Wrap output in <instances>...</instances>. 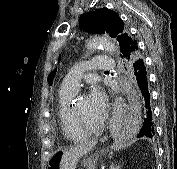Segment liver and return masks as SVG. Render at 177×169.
<instances>
[{
  "mask_svg": "<svg viewBox=\"0 0 177 169\" xmlns=\"http://www.w3.org/2000/svg\"><path fill=\"white\" fill-rule=\"evenodd\" d=\"M97 144V141H92L75 146L63 152L60 160V169H76L79 159L86 155Z\"/></svg>",
  "mask_w": 177,
  "mask_h": 169,
  "instance_id": "liver-1",
  "label": "liver"
}]
</instances>
